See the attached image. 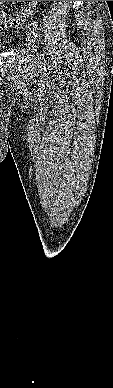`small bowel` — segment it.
I'll return each instance as SVG.
<instances>
[{
	"label": "small bowel",
	"mask_w": 113,
	"mask_h": 388,
	"mask_svg": "<svg viewBox=\"0 0 113 388\" xmlns=\"http://www.w3.org/2000/svg\"><path fill=\"white\" fill-rule=\"evenodd\" d=\"M5 2H8V1H0V8H2L4 6Z\"/></svg>",
	"instance_id": "1"
}]
</instances>
